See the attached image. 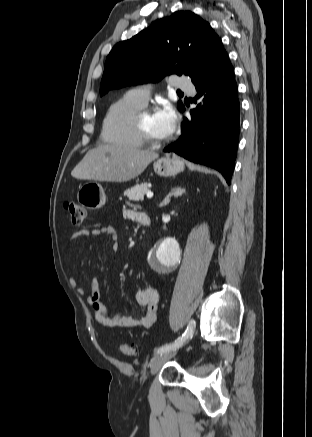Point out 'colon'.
Segmentation results:
<instances>
[{
    "label": "colon",
    "instance_id": "obj_1",
    "mask_svg": "<svg viewBox=\"0 0 312 437\" xmlns=\"http://www.w3.org/2000/svg\"><path fill=\"white\" fill-rule=\"evenodd\" d=\"M65 209L72 225H80L85 217L86 211L79 204L69 201L65 203ZM122 354L132 356L135 354V348L130 344H122L120 346Z\"/></svg>",
    "mask_w": 312,
    "mask_h": 437
}]
</instances>
